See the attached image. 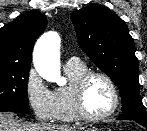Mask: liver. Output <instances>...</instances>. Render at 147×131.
<instances>
[{
    "mask_svg": "<svg viewBox=\"0 0 147 131\" xmlns=\"http://www.w3.org/2000/svg\"><path fill=\"white\" fill-rule=\"evenodd\" d=\"M83 127L55 124L17 123L11 113H0V131H81Z\"/></svg>",
    "mask_w": 147,
    "mask_h": 131,
    "instance_id": "1",
    "label": "liver"
}]
</instances>
